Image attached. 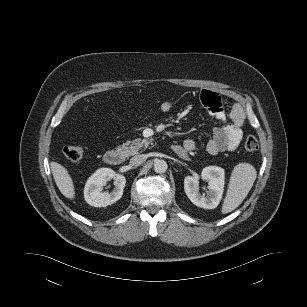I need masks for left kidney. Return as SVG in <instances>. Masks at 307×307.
<instances>
[{"mask_svg":"<svg viewBox=\"0 0 307 307\" xmlns=\"http://www.w3.org/2000/svg\"><path fill=\"white\" fill-rule=\"evenodd\" d=\"M201 177L208 182L207 196L199 192V179L192 176H186L184 179L185 193L194 205L204 209H215L220 203L224 191V169L218 166L205 167L201 172Z\"/></svg>","mask_w":307,"mask_h":307,"instance_id":"1","label":"left kidney"}]
</instances>
